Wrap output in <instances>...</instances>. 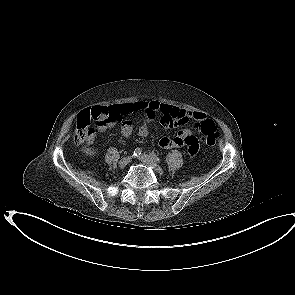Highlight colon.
Returning a JSON list of instances; mask_svg holds the SVG:
<instances>
[{"instance_id": "1", "label": "colon", "mask_w": 295, "mask_h": 295, "mask_svg": "<svg viewBox=\"0 0 295 295\" xmlns=\"http://www.w3.org/2000/svg\"><path fill=\"white\" fill-rule=\"evenodd\" d=\"M111 116L108 108L98 106L91 110L83 111L77 118L74 141L77 144L89 142L95 133V124ZM207 144L212 145L217 139V129L213 120L204 119L198 126Z\"/></svg>"}]
</instances>
